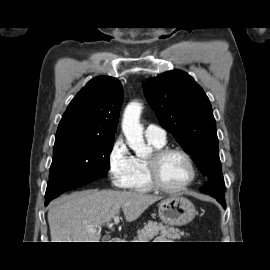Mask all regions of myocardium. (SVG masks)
I'll use <instances>...</instances> for the list:
<instances>
[{
	"mask_svg": "<svg viewBox=\"0 0 270 270\" xmlns=\"http://www.w3.org/2000/svg\"><path fill=\"white\" fill-rule=\"evenodd\" d=\"M171 153H178L182 155L185 158L189 166V170H190V176L188 180L184 184L178 187H168L164 185L159 178V173H158L159 162L165 156ZM146 169H147L148 180L152 188L158 191L164 192V193H171V194L180 193L186 190L187 188H189L195 181L196 175H197L195 163L191 155L186 150L180 147H162L159 149H155L152 155L146 161Z\"/></svg>",
	"mask_w": 270,
	"mask_h": 270,
	"instance_id": "myocardium-1",
	"label": "myocardium"
}]
</instances>
